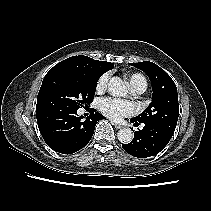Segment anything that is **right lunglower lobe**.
<instances>
[{
  "label": "right lung lower lobe",
  "instance_id": "1",
  "mask_svg": "<svg viewBox=\"0 0 211 211\" xmlns=\"http://www.w3.org/2000/svg\"><path fill=\"white\" fill-rule=\"evenodd\" d=\"M94 112L84 121L77 116V110L72 109L40 110L36 111V117L46 144L56 152L72 154L87 145L97 122L104 118Z\"/></svg>",
  "mask_w": 211,
  "mask_h": 211
}]
</instances>
